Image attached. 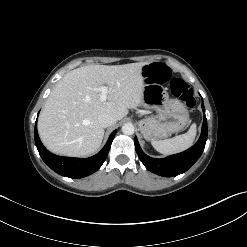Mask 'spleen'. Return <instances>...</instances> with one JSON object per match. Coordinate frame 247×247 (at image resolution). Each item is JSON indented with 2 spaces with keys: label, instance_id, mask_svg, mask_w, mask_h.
<instances>
[{
  "label": "spleen",
  "instance_id": "spleen-1",
  "mask_svg": "<svg viewBox=\"0 0 247 247\" xmlns=\"http://www.w3.org/2000/svg\"><path fill=\"white\" fill-rule=\"evenodd\" d=\"M195 136L196 124H192L185 134L166 140H152L151 144L161 154H176L191 147Z\"/></svg>",
  "mask_w": 247,
  "mask_h": 247
}]
</instances>
